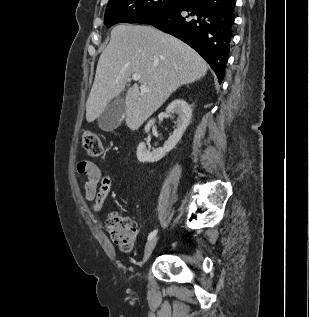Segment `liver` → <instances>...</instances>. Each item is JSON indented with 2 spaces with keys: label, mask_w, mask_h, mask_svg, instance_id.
<instances>
[{
  "label": "liver",
  "mask_w": 309,
  "mask_h": 317,
  "mask_svg": "<svg viewBox=\"0 0 309 317\" xmlns=\"http://www.w3.org/2000/svg\"><path fill=\"white\" fill-rule=\"evenodd\" d=\"M204 59L190 46L154 27L120 24L100 55L92 89L86 102V119L93 122L125 88L132 74L138 84L125 96L126 125L137 130L179 87L207 73Z\"/></svg>",
  "instance_id": "obj_1"
}]
</instances>
